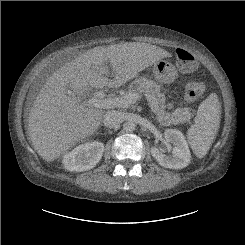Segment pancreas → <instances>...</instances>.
<instances>
[{
    "label": "pancreas",
    "instance_id": "cf45deb5",
    "mask_svg": "<svg viewBox=\"0 0 245 245\" xmlns=\"http://www.w3.org/2000/svg\"><path fill=\"white\" fill-rule=\"evenodd\" d=\"M128 93L144 94L156 118L166 126L185 123L191 119V113L187 108L176 109L173 113L165 111V95L160 92V86L153 80L145 77L135 79L130 83Z\"/></svg>",
    "mask_w": 245,
    "mask_h": 245
}]
</instances>
